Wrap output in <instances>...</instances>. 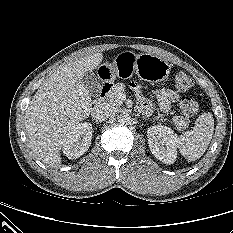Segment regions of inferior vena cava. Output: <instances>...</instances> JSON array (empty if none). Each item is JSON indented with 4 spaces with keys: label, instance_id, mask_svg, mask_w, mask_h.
<instances>
[{
    "label": "inferior vena cava",
    "instance_id": "obj_1",
    "mask_svg": "<svg viewBox=\"0 0 233 233\" xmlns=\"http://www.w3.org/2000/svg\"><path fill=\"white\" fill-rule=\"evenodd\" d=\"M113 115V109L108 103H100L96 105L92 111L91 116L95 122H103Z\"/></svg>",
    "mask_w": 233,
    "mask_h": 233
}]
</instances>
